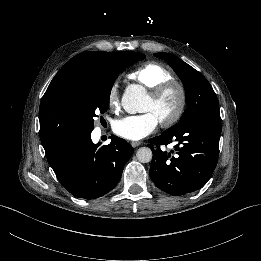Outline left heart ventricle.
I'll use <instances>...</instances> for the list:
<instances>
[{
    "label": "left heart ventricle",
    "instance_id": "obj_1",
    "mask_svg": "<svg viewBox=\"0 0 261 261\" xmlns=\"http://www.w3.org/2000/svg\"><path fill=\"white\" fill-rule=\"evenodd\" d=\"M177 104L178 95L173 92L166 95L156 103L152 102L150 98H148L142 111L153 112L160 121L161 119L169 117L175 111Z\"/></svg>",
    "mask_w": 261,
    "mask_h": 261
}]
</instances>
